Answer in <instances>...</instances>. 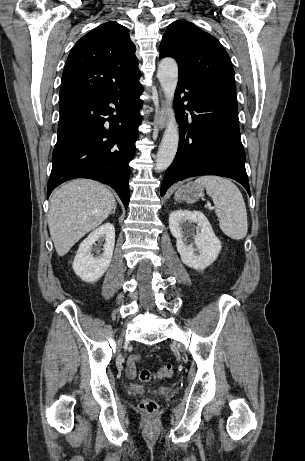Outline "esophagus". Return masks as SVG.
<instances>
[{
    "label": "esophagus",
    "instance_id": "obj_1",
    "mask_svg": "<svg viewBox=\"0 0 305 461\" xmlns=\"http://www.w3.org/2000/svg\"><path fill=\"white\" fill-rule=\"evenodd\" d=\"M167 121V105L166 102L161 99V107L154 115V122L159 130H163L166 126Z\"/></svg>",
    "mask_w": 305,
    "mask_h": 461
}]
</instances>
